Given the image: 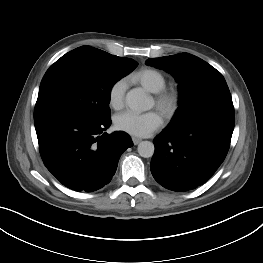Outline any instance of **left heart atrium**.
<instances>
[{"instance_id":"1","label":"left heart atrium","mask_w":263,"mask_h":263,"mask_svg":"<svg viewBox=\"0 0 263 263\" xmlns=\"http://www.w3.org/2000/svg\"><path fill=\"white\" fill-rule=\"evenodd\" d=\"M162 117L156 111L136 113L125 111L114 118L115 127L128 134L144 137L162 125Z\"/></svg>"}]
</instances>
